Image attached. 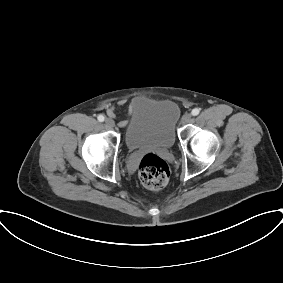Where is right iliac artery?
I'll return each mask as SVG.
<instances>
[{
	"label": "right iliac artery",
	"instance_id": "82829eb1",
	"mask_svg": "<svg viewBox=\"0 0 283 283\" xmlns=\"http://www.w3.org/2000/svg\"><path fill=\"white\" fill-rule=\"evenodd\" d=\"M97 119H98V121L103 122L104 119H105V117H104L103 115H99V116L97 117Z\"/></svg>",
	"mask_w": 283,
	"mask_h": 283
}]
</instances>
